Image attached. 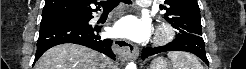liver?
Here are the masks:
<instances>
[{
    "label": "liver",
    "mask_w": 246,
    "mask_h": 69,
    "mask_svg": "<svg viewBox=\"0 0 246 69\" xmlns=\"http://www.w3.org/2000/svg\"><path fill=\"white\" fill-rule=\"evenodd\" d=\"M106 56L76 44H62L46 51L34 69H116Z\"/></svg>",
    "instance_id": "obj_1"
}]
</instances>
